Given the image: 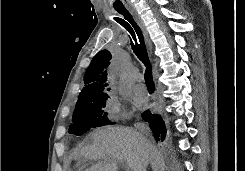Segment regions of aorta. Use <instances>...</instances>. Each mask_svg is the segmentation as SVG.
<instances>
[{"instance_id":"obj_1","label":"aorta","mask_w":245,"mask_h":171,"mask_svg":"<svg viewBox=\"0 0 245 171\" xmlns=\"http://www.w3.org/2000/svg\"><path fill=\"white\" fill-rule=\"evenodd\" d=\"M120 73V70L119 68H112L111 71H110V78H116Z\"/></svg>"}]
</instances>
